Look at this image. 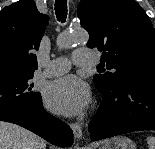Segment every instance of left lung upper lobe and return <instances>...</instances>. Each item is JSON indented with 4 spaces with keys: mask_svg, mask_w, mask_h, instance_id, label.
Returning <instances> with one entry per match:
<instances>
[{
    "mask_svg": "<svg viewBox=\"0 0 155 149\" xmlns=\"http://www.w3.org/2000/svg\"><path fill=\"white\" fill-rule=\"evenodd\" d=\"M77 14L89 35L87 46L102 51L112 72L95 75L113 88L137 75L155 74V30L135 0H81Z\"/></svg>",
    "mask_w": 155,
    "mask_h": 149,
    "instance_id": "1",
    "label": "left lung upper lobe"
}]
</instances>
